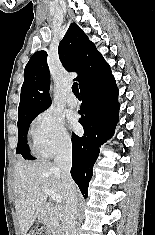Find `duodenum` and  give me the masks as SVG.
<instances>
[{"label":"duodenum","instance_id":"obj_1","mask_svg":"<svg viewBox=\"0 0 155 235\" xmlns=\"http://www.w3.org/2000/svg\"><path fill=\"white\" fill-rule=\"evenodd\" d=\"M47 215H61L63 213V210L61 208L56 207H49L46 209Z\"/></svg>","mask_w":155,"mask_h":235}]
</instances>
